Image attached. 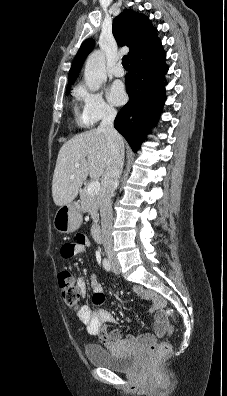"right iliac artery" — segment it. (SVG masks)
<instances>
[{
	"mask_svg": "<svg viewBox=\"0 0 227 396\" xmlns=\"http://www.w3.org/2000/svg\"><path fill=\"white\" fill-rule=\"evenodd\" d=\"M103 267L105 268L106 271L111 270V264H110L109 260L106 258L103 260Z\"/></svg>",
	"mask_w": 227,
	"mask_h": 396,
	"instance_id": "obj_1",
	"label": "right iliac artery"
}]
</instances>
